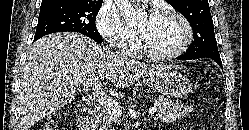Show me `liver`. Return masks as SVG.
Here are the masks:
<instances>
[{
  "instance_id": "obj_1",
  "label": "liver",
  "mask_w": 249,
  "mask_h": 130,
  "mask_svg": "<svg viewBox=\"0 0 249 130\" xmlns=\"http://www.w3.org/2000/svg\"><path fill=\"white\" fill-rule=\"evenodd\" d=\"M168 69L129 60L79 33H56L37 40L23 67L19 90L21 130H28L45 116L75 99L76 87L111 82L112 96H121L140 77ZM116 88V89H113Z\"/></svg>"
}]
</instances>
